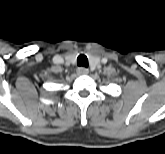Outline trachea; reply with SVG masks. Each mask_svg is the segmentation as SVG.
I'll list each match as a JSON object with an SVG mask.
<instances>
[{
  "label": "trachea",
  "mask_w": 165,
  "mask_h": 154,
  "mask_svg": "<svg viewBox=\"0 0 165 154\" xmlns=\"http://www.w3.org/2000/svg\"><path fill=\"white\" fill-rule=\"evenodd\" d=\"M77 64L78 66H82V67H88V59L85 55L81 54L78 56L77 58Z\"/></svg>",
  "instance_id": "1"
}]
</instances>
